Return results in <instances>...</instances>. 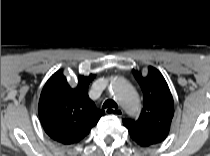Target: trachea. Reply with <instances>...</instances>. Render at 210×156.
Listing matches in <instances>:
<instances>
[{"label": "trachea", "instance_id": "obj_1", "mask_svg": "<svg viewBox=\"0 0 210 156\" xmlns=\"http://www.w3.org/2000/svg\"><path fill=\"white\" fill-rule=\"evenodd\" d=\"M102 108H118V105L114 100L108 99L104 102Z\"/></svg>", "mask_w": 210, "mask_h": 156}]
</instances>
